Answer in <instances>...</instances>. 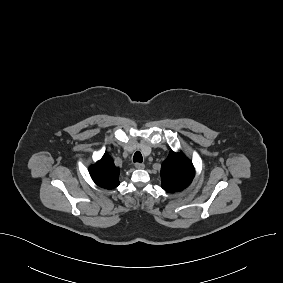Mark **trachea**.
Segmentation results:
<instances>
[{"mask_svg": "<svg viewBox=\"0 0 283 283\" xmlns=\"http://www.w3.org/2000/svg\"><path fill=\"white\" fill-rule=\"evenodd\" d=\"M133 161H134V162H138V163H142L143 158H142V154H141L139 151H137V152L134 154V156H133Z\"/></svg>", "mask_w": 283, "mask_h": 283, "instance_id": "1", "label": "trachea"}]
</instances>
